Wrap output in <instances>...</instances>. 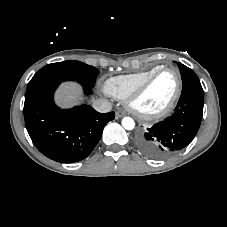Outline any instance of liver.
Returning <instances> with one entry per match:
<instances>
[{
    "mask_svg": "<svg viewBox=\"0 0 227 227\" xmlns=\"http://www.w3.org/2000/svg\"><path fill=\"white\" fill-rule=\"evenodd\" d=\"M81 88L76 83H64L57 90L55 99L62 107H71L78 104Z\"/></svg>",
    "mask_w": 227,
    "mask_h": 227,
    "instance_id": "obj_1",
    "label": "liver"
}]
</instances>
